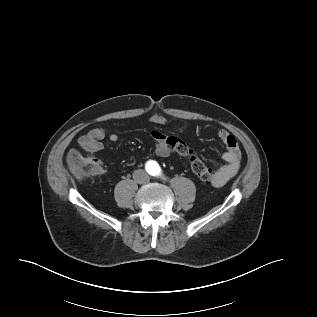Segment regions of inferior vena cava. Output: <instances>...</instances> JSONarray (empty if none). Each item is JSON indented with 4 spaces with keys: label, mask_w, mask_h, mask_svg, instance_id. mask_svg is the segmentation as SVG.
<instances>
[{
    "label": "inferior vena cava",
    "mask_w": 317,
    "mask_h": 317,
    "mask_svg": "<svg viewBox=\"0 0 317 317\" xmlns=\"http://www.w3.org/2000/svg\"><path fill=\"white\" fill-rule=\"evenodd\" d=\"M133 179L138 184H145L148 183L150 180L149 175L142 169L135 170L133 173Z\"/></svg>",
    "instance_id": "602c4592"
}]
</instances>
